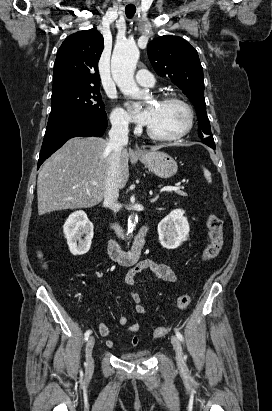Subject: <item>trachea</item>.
<instances>
[{
	"label": "trachea",
	"mask_w": 272,
	"mask_h": 411,
	"mask_svg": "<svg viewBox=\"0 0 272 411\" xmlns=\"http://www.w3.org/2000/svg\"><path fill=\"white\" fill-rule=\"evenodd\" d=\"M136 12V7L135 6H126L125 8V14L128 18H132Z\"/></svg>",
	"instance_id": "trachea-1"
}]
</instances>
